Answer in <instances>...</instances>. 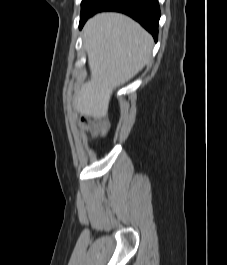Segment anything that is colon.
<instances>
[{
    "label": "colon",
    "instance_id": "colon-1",
    "mask_svg": "<svg viewBox=\"0 0 227 265\" xmlns=\"http://www.w3.org/2000/svg\"><path fill=\"white\" fill-rule=\"evenodd\" d=\"M82 124L89 127L93 136H104L109 128L108 120L105 117H81Z\"/></svg>",
    "mask_w": 227,
    "mask_h": 265
}]
</instances>
